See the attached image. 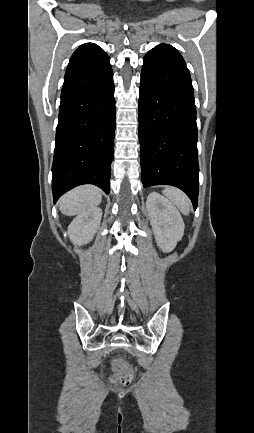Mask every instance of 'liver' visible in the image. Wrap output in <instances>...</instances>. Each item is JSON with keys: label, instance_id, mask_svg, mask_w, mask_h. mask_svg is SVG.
Segmentation results:
<instances>
[{"label": "liver", "instance_id": "1", "mask_svg": "<svg viewBox=\"0 0 254 433\" xmlns=\"http://www.w3.org/2000/svg\"><path fill=\"white\" fill-rule=\"evenodd\" d=\"M101 201L99 188L93 185H83L62 196L59 200V208L64 215L74 216L95 208Z\"/></svg>", "mask_w": 254, "mask_h": 433}]
</instances>
